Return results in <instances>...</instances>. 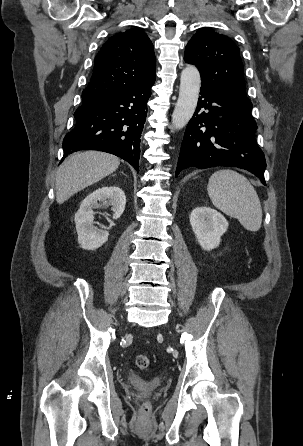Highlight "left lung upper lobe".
Instances as JSON below:
<instances>
[{"label": "left lung upper lobe", "instance_id": "obj_1", "mask_svg": "<svg viewBox=\"0 0 303 446\" xmlns=\"http://www.w3.org/2000/svg\"><path fill=\"white\" fill-rule=\"evenodd\" d=\"M184 60L198 67L202 83L215 85L252 107L239 48L230 38L209 28L199 29L186 46Z\"/></svg>", "mask_w": 303, "mask_h": 446}]
</instances>
